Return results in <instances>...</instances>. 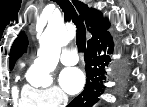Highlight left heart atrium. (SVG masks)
Wrapping results in <instances>:
<instances>
[{
    "label": "left heart atrium",
    "mask_w": 147,
    "mask_h": 107,
    "mask_svg": "<svg viewBox=\"0 0 147 107\" xmlns=\"http://www.w3.org/2000/svg\"><path fill=\"white\" fill-rule=\"evenodd\" d=\"M59 81L62 89L66 93L74 95L82 90L85 77L80 69L67 68L62 71Z\"/></svg>",
    "instance_id": "obj_1"
}]
</instances>
